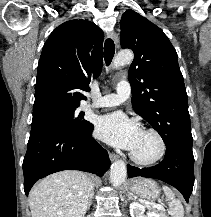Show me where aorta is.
Listing matches in <instances>:
<instances>
[{
	"label": "aorta",
	"instance_id": "1",
	"mask_svg": "<svg viewBox=\"0 0 211 217\" xmlns=\"http://www.w3.org/2000/svg\"><path fill=\"white\" fill-rule=\"evenodd\" d=\"M134 58V55L131 51H121L117 54L113 60L112 67L117 69L123 65L130 64ZM127 169L126 164L123 160L115 161L110 170V180L111 184L114 187L120 186L126 178Z\"/></svg>",
	"mask_w": 211,
	"mask_h": 217
}]
</instances>
